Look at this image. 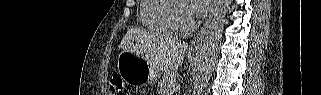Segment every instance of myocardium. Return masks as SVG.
I'll list each match as a JSON object with an SVG mask.
<instances>
[{
	"label": "myocardium",
	"instance_id": "obj_1",
	"mask_svg": "<svg viewBox=\"0 0 321 95\" xmlns=\"http://www.w3.org/2000/svg\"><path fill=\"white\" fill-rule=\"evenodd\" d=\"M180 6L185 7V5L183 4V1L172 0L171 4L168 6V8L166 10V21L174 32L183 35V34H187V33L192 32L196 28L197 22L193 18L191 20L190 24L182 25L178 21L177 16H176L177 9ZM185 8H188V7H185Z\"/></svg>",
	"mask_w": 321,
	"mask_h": 95
}]
</instances>
